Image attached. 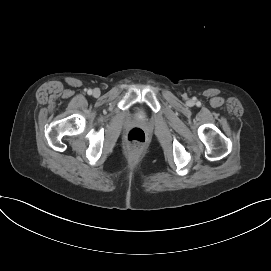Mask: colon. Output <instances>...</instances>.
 <instances>
[{
  "label": "colon",
  "instance_id": "colon-1",
  "mask_svg": "<svg viewBox=\"0 0 271 271\" xmlns=\"http://www.w3.org/2000/svg\"><path fill=\"white\" fill-rule=\"evenodd\" d=\"M146 141V133L141 128H132L127 134V142L133 150L142 149L145 146Z\"/></svg>",
  "mask_w": 271,
  "mask_h": 271
}]
</instances>
